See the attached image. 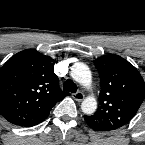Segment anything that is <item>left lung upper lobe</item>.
Segmentation results:
<instances>
[{"mask_svg": "<svg viewBox=\"0 0 145 145\" xmlns=\"http://www.w3.org/2000/svg\"><path fill=\"white\" fill-rule=\"evenodd\" d=\"M94 63L101 78L99 107L84 119L93 130L112 131L135 116L145 98V82L138 70L118 55L101 56Z\"/></svg>", "mask_w": 145, "mask_h": 145, "instance_id": "obj_1", "label": "left lung upper lobe"}]
</instances>
